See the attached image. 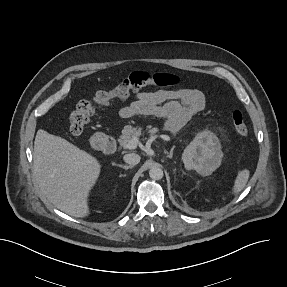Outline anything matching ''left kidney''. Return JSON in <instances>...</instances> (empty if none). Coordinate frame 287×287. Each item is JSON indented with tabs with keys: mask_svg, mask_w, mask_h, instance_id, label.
<instances>
[{
	"mask_svg": "<svg viewBox=\"0 0 287 287\" xmlns=\"http://www.w3.org/2000/svg\"><path fill=\"white\" fill-rule=\"evenodd\" d=\"M222 156L216 135L203 131L186 147L182 160L187 170L193 169L202 176H208L220 166Z\"/></svg>",
	"mask_w": 287,
	"mask_h": 287,
	"instance_id": "1",
	"label": "left kidney"
}]
</instances>
